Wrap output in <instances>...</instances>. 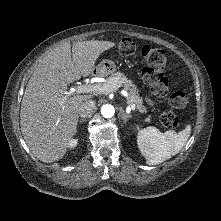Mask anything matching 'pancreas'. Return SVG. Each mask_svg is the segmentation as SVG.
<instances>
[{"label": "pancreas", "instance_id": "obj_1", "mask_svg": "<svg viewBox=\"0 0 221 221\" xmlns=\"http://www.w3.org/2000/svg\"><path fill=\"white\" fill-rule=\"evenodd\" d=\"M101 86L104 85H116L119 87H124L125 90L129 92L128 102L134 104L140 113H146L147 108L143 105V99L139 95V91L133 82L126 78L123 73L116 72L107 78L105 83H99ZM151 116H148L145 120L150 121Z\"/></svg>", "mask_w": 221, "mask_h": 221}]
</instances>
